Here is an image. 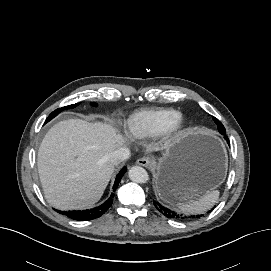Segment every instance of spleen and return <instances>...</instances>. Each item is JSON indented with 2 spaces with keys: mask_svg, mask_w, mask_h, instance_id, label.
Masks as SVG:
<instances>
[{
  "mask_svg": "<svg viewBox=\"0 0 271 271\" xmlns=\"http://www.w3.org/2000/svg\"><path fill=\"white\" fill-rule=\"evenodd\" d=\"M219 198V191L212 190L201 196L197 200L180 203V209L184 213L197 214L210 209Z\"/></svg>",
  "mask_w": 271,
  "mask_h": 271,
  "instance_id": "3e777b00",
  "label": "spleen"
}]
</instances>
